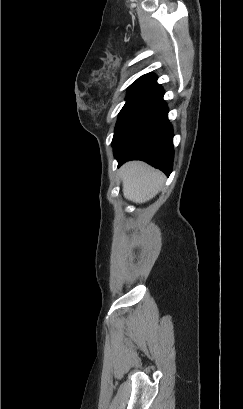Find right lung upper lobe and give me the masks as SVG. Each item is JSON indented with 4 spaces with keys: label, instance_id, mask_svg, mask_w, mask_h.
I'll list each match as a JSON object with an SVG mask.
<instances>
[{
    "label": "right lung upper lobe",
    "instance_id": "cb5924a9",
    "mask_svg": "<svg viewBox=\"0 0 243 409\" xmlns=\"http://www.w3.org/2000/svg\"><path fill=\"white\" fill-rule=\"evenodd\" d=\"M139 79H153V80H156L157 77L155 75H153V74L148 73V74H145V75L141 76Z\"/></svg>",
    "mask_w": 243,
    "mask_h": 409
}]
</instances>
